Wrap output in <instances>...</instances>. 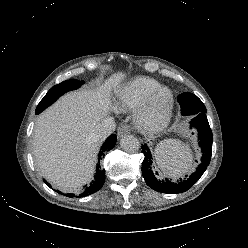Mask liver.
Returning <instances> with one entry per match:
<instances>
[{"mask_svg": "<svg viewBox=\"0 0 248 248\" xmlns=\"http://www.w3.org/2000/svg\"><path fill=\"white\" fill-rule=\"evenodd\" d=\"M124 78L114 74L103 85L67 93L41 113L33 132V156L43 176L64 192L88 182L102 141L92 132L110 111L111 90Z\"/></svg>", "mask_w": 248, "mask_h": 248, "instance_id": "liver-1", "label": "liver"}]
</instances>
